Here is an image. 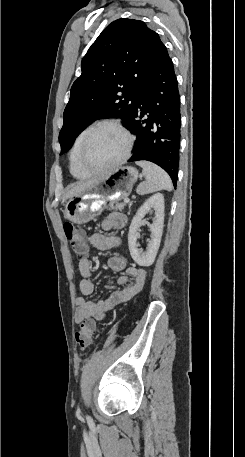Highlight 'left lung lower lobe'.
<instances>
[{"instance_id": "1", "label": "left lung lower lobe", "mask_w": 245, "mask_h": 457, "mask_svg": "<svg viewBox=\"0 0 245 457\" xmlns=\"http://www.w3.org/2000/svg\"><path fill=\"white\" fill-rule=\"evenodd\" d=\"M137 140L129 162L151 161L176 187L181 140L180 95L171 58L160 41L141 86L139 106L125 126Z\"/></svg>"}]
</instances>
